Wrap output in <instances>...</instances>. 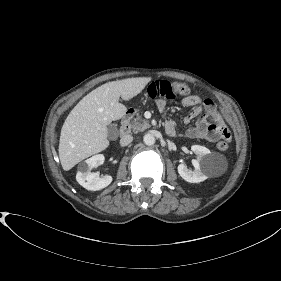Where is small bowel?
Returning a JSON list of instances; mask_svg holds the SVG:
<instances>
[{
    "instance_id": "c3829d8e",
    "label": "small bowel",
    "mask_w": 281,
    "mask_h": 281,
    "mask_svg": "<svg viewBox=\"0 0 281 281\" xmlns=\"http://www.w3.org/2000/svg\"><path fill=\"white\" fill-rule=\"evenodd\" d=\"M181 104L192 107L193 110L185 117V123L190 122L199 116L202 112L205 115L198 119L194 126H189L185 131V136L193 139H206L210 142H216L223 138V130L227 129L223 123L222 116L217 112L211 99H201L197 95H188L181 99ZM156 106L159 111L166 107L164 99H158ZM165 130L170 136H177L176 125L173 121L165 122Z\"/></svg>"
}]
</instances>
